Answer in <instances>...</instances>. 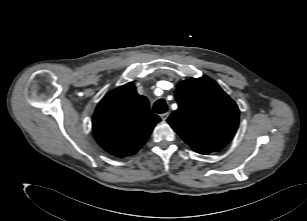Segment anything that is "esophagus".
Segmentation results:
<instances>
[{"instance_id": "1", "label": "esophagus", "mask_w": 307, "mask_h": 221, "mask_svg": "<svg viewBox=\"0 0 307 221\" xmlns=\"http://www.w3.org/2000/svg\"><path fill=\"white\" fill-rule=\"evenodd\" d=\"M169 112H165V113H163V114H161V119L163 120V121H166L167 120V118L169 117Z\"/></svg>"}]
</instances>
